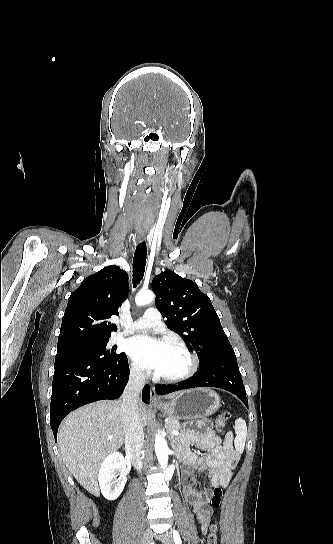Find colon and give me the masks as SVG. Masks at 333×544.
Returning <instances> with one entry per match:
<instances>
[{"label": "colon", "mask_w": 333, "mask_h": 544, "mask_svg": "<svg viewBox=\"0 0 333 544\" xmlns=\"http://www.w3.org/2000/svg\"><path fill=\"white\" fill-rule=\"evenodd\" d=\"M231 418V413L229 411L222 412L216 419V429L218 431L227 424ZM223 491L221 487H215L213 495L211 497V505L214 508H219L222 500ZM207 544H217V525L213 523L210 526V531L207 536Z\"/></svg>", "instance_id": "5ec220e1"}]
</instances>
